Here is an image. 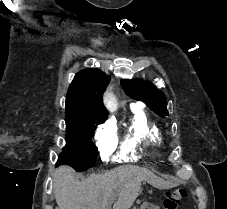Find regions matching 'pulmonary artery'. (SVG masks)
I'll use <instances>...</instances> for the list:
<instances>
[{"mask_svg": "<svg viewBox=\"0 0 227 209\" xmlns=\"http://www.w3.org/2000/svg\"><path fill=\"white\" fill-rule=\"evenodd\" d=\"M137 105H146V100H137Z\"/></svg>", "mask_w": 227, "mask_h": 209, "instance_id": "obj_1", "label": "pulmonary artery"}]
</instances>
